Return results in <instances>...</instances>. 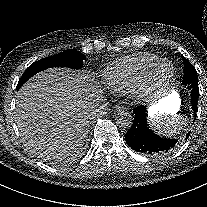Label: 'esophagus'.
I'll use <instances>...</instances> for the list:
<instances>
[{"label": "esophagus", "mask_w": 207, "mask_h": 207, "mask_svg": "<svg viewBox=\"0 0 207 207\" xmlns=\"http://www.w3.org/2000/svg\"><path fill=\"white\" fill-rule=\"evenodd\" d=\"M115 114H124L125 113V108L123 106H117L114 109Z\"/></svg>", "instance_id": "34e87169"}]
</instances>
